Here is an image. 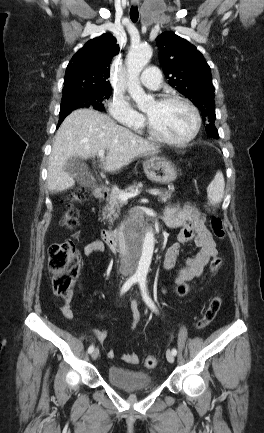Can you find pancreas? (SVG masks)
I'll return each mask as SVG.
<instances>
[{
	"label": "pancreas",
	"mask_w": 264,
	"mask_h": 433,
	"mask_svg": "<svg viewBox=\"0 0 264 433\" xmlns=\"http://www.w3.org/2000/svg\"><path fill=\"white\" fill-rule=\"evenodd\" d=\"M138 185L134 183L131 186L125 188V190H112L107 198V204L102 211L101 221L109 220L110 225L113 224V220L119 217L121 208L124 203L119 199V193H129L138 190ZM159 200L166 203L172 197V191L170 190H159Z\"/></svg>",
	"instance_id": "pancreas-1"
}]
</instances>
